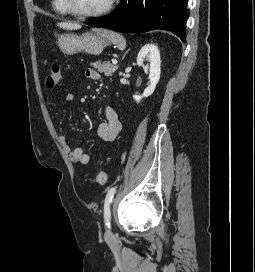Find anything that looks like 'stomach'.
<instances>
[{
  "instance_id": "0dacf381",
  "label": "stomach",
  "mask_w": 255,
  "mask_h": 272,
  "mask_svg": "<svg viewBox=\"0 0 255 272\" xmlns=\"http://www.w3.org/2000/svg\"><path fill=\"white\" fill-rule=\"evenodd\" d=\"M109 44V40L99 33L86 32L81 35L62 34L58 37L57 45L66 55L87 53L99 55Z\"/></svg>"
}]
</instances>
